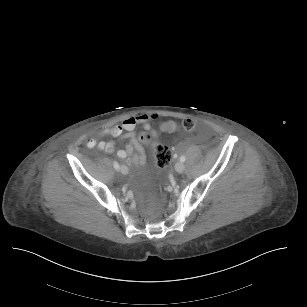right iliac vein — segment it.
I'll return each mask as SVG.
<instances>
[{"instance_id":"63e3f726","label":"right iliac vein","mask_w":307,"mask_h":307,"mask_svg":"<svg viewBox=\"0 0 307 307\" xmlns=\"http://www.w3.org/2000/svg\"><path fill=\"white\" fill-rule=\"evenodd\" d=\"M121 172H122L123 174H126V173L128 172L127 167L124 166V165H122V166H121Z\"/></svg>"}]
</instances>
